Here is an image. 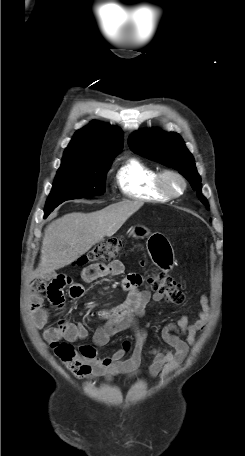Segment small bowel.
<instances>
[{
  "label": "small bowel",
  "instance_id": "c3829d8e",
  "mask_svg": "<svg viewBox=\"0 0 245 456\" xmlns=\"http://www.w3.org/2000/svg\"><path fill=\"white\" fill-rule=\"evenodd\" d=\"M124 272L123 263L113 260L106 264L90 265L81 273V280L85 283H96L110 276H123L121 285L128 291V297L122 304L101 311L100 316L105 323L95 333V344L105 345L114 334L127 329L132 330L135 336L133 344L125 341L120 349L105 358H99L93 346H81L83 360L89 367L85 378L97 380L99 377H104L110 380L118 374L135 375L139 372L144 354L152 356L147 374L150 377L164 378L178 368L187 356L190 347L195 344L197 333L205 329L211 311L208 297L201 294L200 310L195 322H191L187 315H183L178 321L163 328L162 338L169 348L146 350L147 333L144 328L139 326L138 319L143 316L147 304L150 301L160 302L163 294L139 289L143 281L142 276L138 273L124 275ZM67 285H69V295L72 298L78 299L83 296V285L70 282L65 275L48 274L32 283L30 311L33 323L37 328L43 329L49 318V312L43 306L42 294L46 292L48 300L61 309L64 303L63 289ZM87 336L88 330L84 324L71 323L63 318L58 326L43 330V337L49 343L62 339L75 342L83 340ZM129 351L130 356L124 359L125 354Z\"/></svg>",
  "mask_w": 245,
  "mask_h": 456
}]
</instances>
